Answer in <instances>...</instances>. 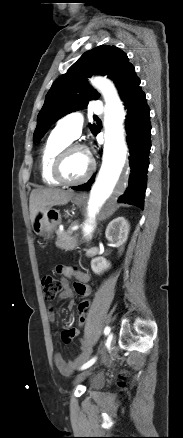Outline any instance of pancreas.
I'll use <instances>...</instances> for the list:
<instances>
[{"instance_id":"1","label":"pancreas","mask_w":183,"mask_h":438,"mask_svg":"<svg viewBox=\"0 0 183 438\" xmlns=\"http://www.w3.org/2000/svg\"><path fill=\"white\" fill-rule=\"evenodd\" d=\"M57 240L56 246L62 250L70 251L74 250L78 246V238L76 236H72L71 231H61L57 230Z\"/></svg>"}]
</instances>
